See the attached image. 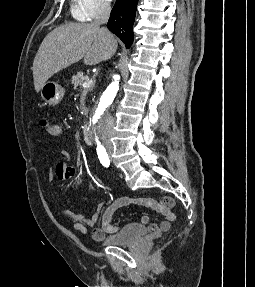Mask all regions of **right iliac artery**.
Masks as SVG:
<instances>
[{"label":"right iliac artery","mask_w":255,"mask_h":287,"mask_svg":"<svg viewBox=\"0 0 255 287\" xmlns=\"http://www.w3.org/2000/svg\"><path fill=\"white\" fill-rule=\"evenodd\" d=\"M98 158L103 166L108 167L110 164V160L106 150L102 147L97 150Z\"/></svg>","instance_id":"82829eb1"}]
</instances>
